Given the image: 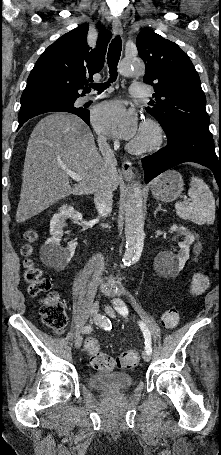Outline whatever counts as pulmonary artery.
<instances>
[{"label":"pulmonary artery","mask_w":221,"mask_h":455,"mask_svg":"<svg viewBox=\"0 0 221 455\" xmlns=\"http://www.w3.org/2000/svg\"><path fill=\"white\" fill-rule=\"evenodd\" d=\"M129 92L132 96L143 97L148 94V88L143 83H133L129 88ZM105 97V94H100L97 96H85L81 99L82 103L98 100Z\"/></svg>","instance_id":"e3ab8cb5"}]
</instances>
